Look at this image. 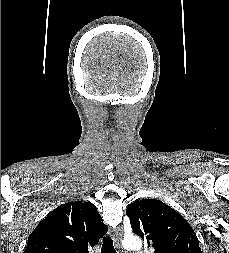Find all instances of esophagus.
<instances>
[{
	"label": "esophagus",
	"mask_w": 229,
	"mask_h": 253,
	"mask_svg": "<svg viewBox=\"0 0 229 253\" xmlns=\"http://www.w3.org/2000/svg\"><path fill=\"white\" fill-rule=\"evenodd\" d=\"M122 237H123V232H122V229L121 228H117L115 230V233H114V243H115V246L120 249V246H121V241H122Z\"/></svg>",
	"instance_id": "obj_1"
}]
</instances>
